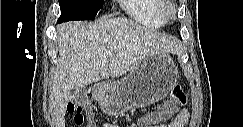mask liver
<instances>
[{"mask_svg": "<svg viewBox=\"0 0 243 127\" xmlns=\"http://www.w3.org/2000/svg\"><path fill=\"white\" fill-rule=\"evenodd\" d=\"M58 33L59 59L49 99L55 127H65L72 90L120 77L149 54L180 49L176 38L142 28L126 18H104L91 25L68 22L58 27ZM107 50L112 54L106 55Z\"/></svg>", "mask_w": 243, "mask_h": 127, "instance_id": "1", "label": "liver"}]
</instances>
